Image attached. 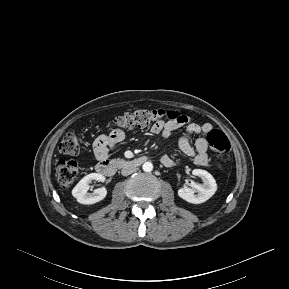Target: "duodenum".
<instances>
[{
	"label": "duodenum",
	"mask_w": 289,
	"mask_h": 289,
	"mask_svg": "<svg viewBox=\"0 0 289 289\" xmlns=\"http://www.w3.org/2000/svg\"><path fill=\"white\" fill-rule=\"evenodd\" d=\"M149 161L147 156H139L132 159L109 160L102 159L96 164V171L104 176H113L119 169L139 167Z\"/></svg>",
	"instance_id": "duodenum-1"
}]
</instances>
